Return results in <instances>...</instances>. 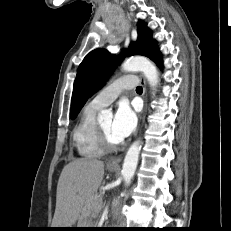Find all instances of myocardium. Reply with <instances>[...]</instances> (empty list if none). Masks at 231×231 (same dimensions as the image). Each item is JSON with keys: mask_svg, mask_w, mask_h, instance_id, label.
Here are the masks:
<instances>
[{"mask_svg": "<svg viewBox=\"0 0 231 231\" xmlns=\"http://www.w3.org/2000/svg\"><path fill=\"white\" fill-rule=\"evenodd\" d=\"M97 139L100 147L104 152L116 151L120 147L119 143H112L108 140L100 124H97Z\"/></svg>", "mask_w": 231, "mask_h": 231, "instance_id": "myocardium-1", "label": "myocardium"}]
</instances>
